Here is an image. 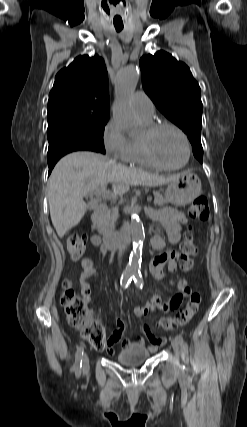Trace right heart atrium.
<instances>
[{
    "label": "right heart atrium",
    "mask_w": 247,
    "mask_h": 427,
    "mask_svg": "<svg viewBox=\"0 0 247 427\" xmlns=\"http://www.w3.org/2000/svg\"><path fill=\"white\" fill-rule=\"evenodd\" d=\"M102 142L106 152L113 158L127 161L129 154V139L120 127L110 120L102 131Z\"/></svg>",
    "instance_id": "d8ad5b80"
}]
</instances>
